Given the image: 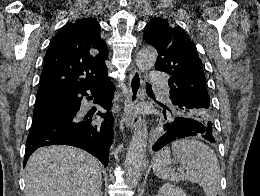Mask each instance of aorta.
<instances>
[{
    "label": "aorta",
    "mask_w": 260,
    "mask_h": 196,
    "mask_svg": "<svg viewBox=\"0 0 260 196\" xmlns=\"http://www.w3.org/2000/svg\"><path fill=\"white\" fill-rule=\"evenodd\" d=\"M156 59L157 51L155 48L148 46L138 52L136 65L141 72H147L154 66ZM147 139V125L143 123L134 131L126 154L125 170L128 181L132 186L138 184L147 165Z\"/></svg>",
    "instance_id": "1"
}]
</instances>
